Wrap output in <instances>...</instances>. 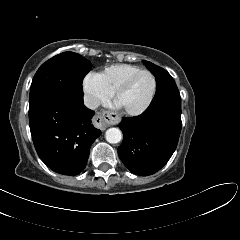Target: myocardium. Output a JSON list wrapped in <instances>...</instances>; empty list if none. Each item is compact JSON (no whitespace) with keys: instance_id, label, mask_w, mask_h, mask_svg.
<instances>
[{"instance_id":"obj_1","label":"myocardium","mask_w":240,"mask_h":240,"mask_svg":"<svg viewBox=\"0 0 240 240\" xmlns=\"http://www.w3.org/2000/svg\"><path fill=\"white\" fill-rule=\"evenodd\" d=\"M142 74H149L152 79H153V90L151 93V96L149 98V100L140 108L137 109H126L124 108V110L126 111L127 114L132 115V116H139L144 114L153 104L154 99L156 97V93H157V89H158V79L157 76L155 75L154 72L150 71V70H141L135 74H133L132 76H130L115 92V100L117 102H119V99L121 97V95L127 91L131 85L133 84V82Z\"/></svg>"}]
</instances>
